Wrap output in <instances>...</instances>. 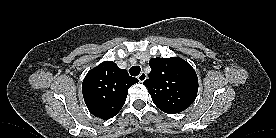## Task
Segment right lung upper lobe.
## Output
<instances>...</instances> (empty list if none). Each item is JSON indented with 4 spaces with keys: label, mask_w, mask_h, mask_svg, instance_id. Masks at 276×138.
I'll return each mask as SVG.
<instances>
[{
    "label": "right lung upper lobe",
    "mask_w": 276,
    "mask_h": 138,
    "mask_svg": "<svg viewBox=\"0 0 276 138\" xmlns=\"http://www.w3.org/2000/svg\"><path fill=\"white\" fill-rule=\"evenodd\" d=\"M138 82L116 63L104 61L88 72L82 83L89 111L104 120L114 117L125 103L128 89Z\"/></svg>",
    "instance_id": "1"
}]
</instances>
